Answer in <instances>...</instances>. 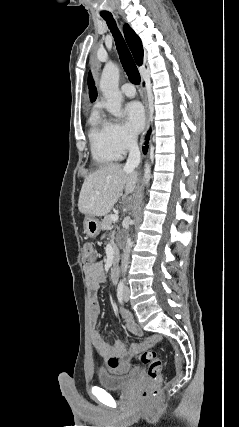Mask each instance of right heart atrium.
<instances>
[{
    "mask_svg": "<svg viewBox=\"0 0 239 427\" xmlns=\"http://www.w3.org/2000/svg\"><path fill=\"white\" fill-rule=\"evenodd\" d=\"M109 141L115 151L123 156L135 147V138L118 122H106Z\"/></svg>",
    "mask_w": 239,
    "mask_h": 427,
    "instance_id": "obj_1",
    "label": "right heart atrium"
}]
</instances>
